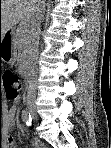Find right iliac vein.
<instances>
[{"label":"right iliac vein","mask_w":111,"mask_h":148,"mask_svg":"<svg viewBox=\"0 0 111 148\" xmlns=\"http://www.w3.org/2000/svg\"><path fill=\"white\" fill-rule=\"evenodd\" d=\"M28 111H29V113H30L34 118L37 117V116H36V109H35L34 106L30 105V106L28 107Z\"/></svg>","instance_id":"63e3f726"}]
</instances>
